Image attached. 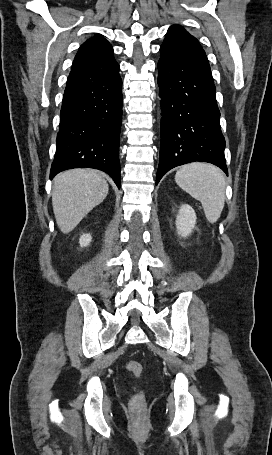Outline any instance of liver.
Returning a JSON list of instances; mask_svg holds the SVG:
<instances>
[{"label": "liver", "instance_id": "liver-1", "mask_svg": "<svg viewBox=\"0 0 272 455\" xmlns=\"http://www.w3.org/2000/svg\"><path fill=\"white\" fill-rule=\"evenodd\" d=\"M105 179L90 169H73L57 175L52 190L56 223L62 233L71 232L107 196Z\"/></svg>", "mask_w": 272, "mask_h": 455}]
</instances>
